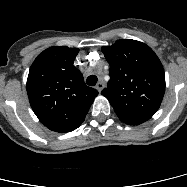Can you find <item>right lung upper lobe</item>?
<instances>
[{
	"instance_id": "right-lung-upper-lobe-1",
	"label": "right lung upper lobe",
	"mask_w": 187,
	"mask_h": 187,
	"mask_svg": "<svg viewBox=\"0 0 187 187\" xmlns=\"http://www.w3.org/2000/svg\"><path fill=\"white\" fill-rule=\"evenodd\" d=\"M78 48L50 47L35 59L29 70L27 93L40 122L64 133L84 121L98 91L86 86L82 73L73 65Z\"/></svg>"
}]
</instances>
